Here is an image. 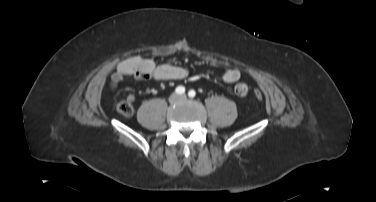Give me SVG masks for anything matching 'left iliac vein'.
<instances>
[{"mask_svg":"<svg viewBox=\"0 0 376 202\" xmlns=\"http://www.w3.org/2000/svg\"><path fill=\"white\" fill-rule=\"evenodd\" d=\"M179 98H180V99H185V98H186V95H181Z\"/></svg>","mask_w":376,"mask_h":202,"instance_id":"obj_1","label":"left iliac vein"}]
</instances>
